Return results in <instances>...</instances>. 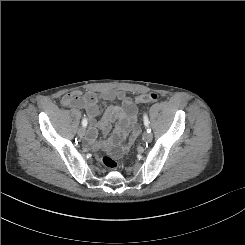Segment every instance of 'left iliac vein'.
Returning a JSON list of instances; mask_svg holds the SVG:
<instances>
[{
  "mask_svg": "<svg viewBox=\"0 0 245 245\" xmlns=\"http://www.w3.org/2000/svg\"><path fill=\"white\" fill-rule=\"evenodd\" d=\"M152 133L151 132H145L143 135V140L146 142H150L152 140Z\"/></svg>",
  "mask_w": 245,
  "mask_h": 245,
  "instance_id": "1",
  "label": "left iliac vein"
}]
</instances>
